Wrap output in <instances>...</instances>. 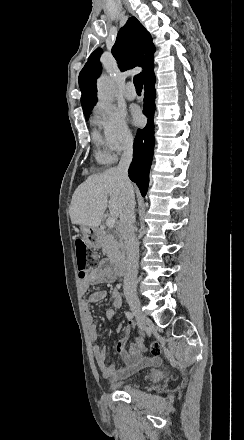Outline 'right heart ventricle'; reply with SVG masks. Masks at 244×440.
I'll use <instances>...</instances> for the list:
<instances>
[{"instance_id":"right-heart-ventricle-1","label":"right heart ventricle","mask_w":244,"mask_h":440,"mask_svg":"<svg viewBox=\"0 0 244 440\" xmlns=\"http://www.w3.org/2000/svg\"><path fill=\"white\" fill-rule=\"evenodd\" d=\"M92 135H93V141L95 144L103 145V137L96 129L93 130ZM99 157H100V159H103V160H110L111 159V158H109V156L107 154H105L103 152L100 153Z\"/></svg>"}]
</instances>
